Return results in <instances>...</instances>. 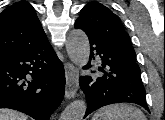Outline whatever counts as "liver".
<instances>
[{"label": "liver", "mask_w": 165, "mask_h": 120, "mask_svg": "<svg viewBox=\"0 0 165 120\" xmlns=\"http://www.w3.org/2000/svg\"><path fill=\"white\" fill-rule=\"evenodd\" d=\"M27 116L11 109H0V120H27Z\"/></svg>", "instance_id": "liver-1"}]
</instances>
